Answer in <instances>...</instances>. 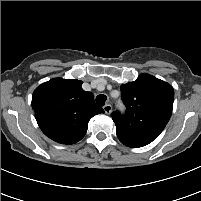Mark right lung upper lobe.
<instances>
[{
  "label": "right lung upper lobe",
  "instance_id": "cb5924a9",
  "mask_svg": "<svg viewBox=\"0 0 201 201\" xmlns=\"http://www.w3.org/2000/svg\"><path fill=\"white\" fill-rule=\"evenodd\" d=\"M82 81L51 79L38 86L32 95V108L40 129L50 139L61 144L81 140L89 120L104 113L91 92L81 87Z\"/></svg>",
  "mask_w": 201,
  "mask_h": 201
}]
</instances>
